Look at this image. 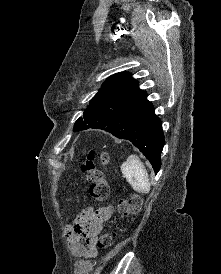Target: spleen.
I'll return each instance as SVG.
<instances>
[{
	"label": "spleen",
	"mask_w": 221,
	"mask_h": 274,
	"mask_svg": "<svg viewBox=\"0 0 221 274\" xmlns=\"http://www.w3.org/2000/svg\"><path fill=\"white\" fill-rule=\"evenodd\" d=\"M121 171L132 188L140 193L150 192L149 176L138 156L131 155L122 163Z\"/></svg>",
	"instance_id": "3e777b00"
}]
</instances>
